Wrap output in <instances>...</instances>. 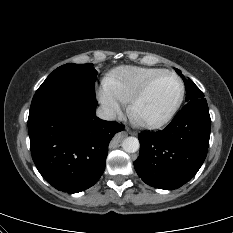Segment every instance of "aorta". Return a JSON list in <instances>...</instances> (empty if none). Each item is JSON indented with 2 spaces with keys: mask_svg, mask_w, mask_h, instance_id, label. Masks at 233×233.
I'll list each match as a JSON object with an SVG mask.
<instances>
[{
  "mask_svg": "<svg viewBox=\"0 0 233 233\" xmlns=\"http://www.w3.org/2000/svg\"><path fill=\"white\" fill-rule=\"evenodd\" d=\"M139 147L140 143L136 137H127L122 141V148L127 153H135Z\"/></svg>",
  "mask_w": 233,
  "mask_h": 233,
  "instance_id": "1",
  "label": "aorta"
}]
</instances>
